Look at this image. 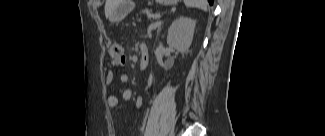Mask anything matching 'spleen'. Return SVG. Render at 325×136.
<instances>
[{
  "label": "spleen",
  "mask_w": 325,
  "mask_h": 136,
  "mask_svg": "<svg viewBox=\"0 0 325 136\" xmlns=\"http://www.w3.org/2000/svg\"><path fill=\"white\" fill-rule=\"evenodd\" d=\"M184 3L187 7L207 10V2L205 0H184Z\"/></svg>",
  "instance_id": "1"
}]
</instances>
